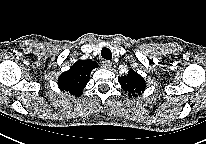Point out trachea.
Listing matches in <instances>:
<instances>
[{"label": "trachea", "instance_id": "1", "mask_svg": "<svg viewBox=\"0 0 206 144\" xmlns=\"http://www.w3.org/2000/svg\"><path fill=\"white\" fill-rule=\"evenodd\" d=\"M101 56L105 59V60H111L112 59V53L111 50L107 47H104L101 51Z\"/></svg>", "mask_w": 206, "mask_h": 144}]
</instances>
